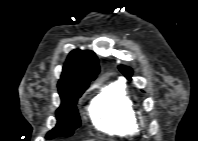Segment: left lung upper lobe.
Masks as SVG:
<instances>
[{"instance_id":"obj_1","label":"left lung upper lobe","mask_w":198,"mask_h":141,"mask_svg":"<svg viewBox=\"0 0 198 141\" xmlns=\"http://www.w3.org/2000/svg\"><path fill=\"white\" fill-rule=\"evenodd\" d=\"M119 69L129 80H131V76H132V69L131 68L120 65Z\"/></svg>"}]
</instances>
